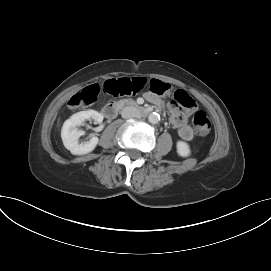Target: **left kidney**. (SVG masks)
<instances>
[{"label":"left kidney","instance_id":"5707ae66","mask_svg":"<svg viewBox=\"0 0 271 271\" xmlns=\"http://www.w3.org/2000/svg\"><path fill=\"white\" fill-rule=\"evenodd\" d=\"M176 147H177L178 155H180L182 157H188L191 153V150H190L188 143H186L184 141H178L176 144Z\"/></svg>","mask_w":271,"mask_h":271}]
</instances>
